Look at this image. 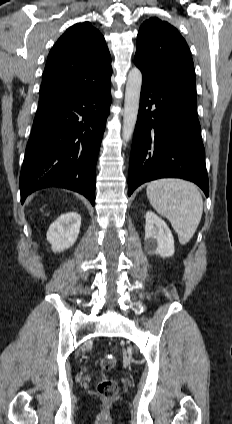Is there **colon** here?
<instances>
[{
	"label": "colon",
	"mask_w": 232,
	"mask_h": 424,
	"mask_svg": "<svg viewBox=\"0 0 232 424\" xmlns=\"http://www.w3.org/2000/svg\"><path fill=\"white\" fill-rule=\"evenodd\" d=\"M116 365V359L112 354L105 355L100 361V369L103 372L112 370ZM98 394L104 399H113L117 396L119 388L116 381L101 377L96 385Z\"/></svg>",
	"instance_id": "obj_1"
}]
</instances>
